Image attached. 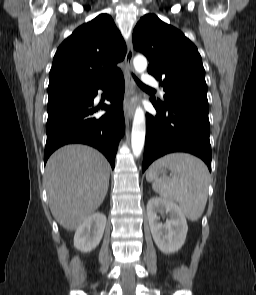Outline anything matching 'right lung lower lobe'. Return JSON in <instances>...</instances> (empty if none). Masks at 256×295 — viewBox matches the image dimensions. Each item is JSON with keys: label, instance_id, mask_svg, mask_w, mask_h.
<instances>
[{"label": "right lung lower lobe", "instance_id": "98d812e1", "mask_svg": "<svg viewBox=\"0 0 256 295\" xmlns=\"http://www.w3.org/2000/svg\"><path fill=\"white\" fill-rule=\"evenodd\" d=\"M110 86L108 100L112 105H104L102 109L106 113L96 118L93 115L99 107H93V100L98 89L106 90ZM124 88L120 72L97 86L49 96L44 164L57 148L69 143H83L100 150L114 168L117 146L125 130Z\"/></svg>", "mask_w": 256, "mask_h": 295}]
</instances>
